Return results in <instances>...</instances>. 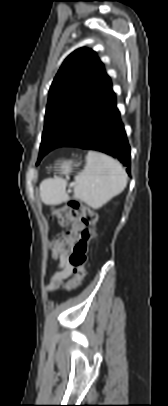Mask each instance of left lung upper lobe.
<instances>
[{"instance_id":"5c2ea615","label":"left lung upper lobe","mask_w":168,"mask_h":406,"mask_svg":"<svg viewBox=\"0 0 168 406\" xmlns=\"http://www.w3.org/2000/svg\"><path fill=\"white\" fill-rule=\"evenodd\" d=\"M110 86L103 64L91 49H78L66 58L50 87L37 164L82 128Z\"/></svg>"}]
</instances>
